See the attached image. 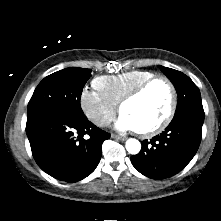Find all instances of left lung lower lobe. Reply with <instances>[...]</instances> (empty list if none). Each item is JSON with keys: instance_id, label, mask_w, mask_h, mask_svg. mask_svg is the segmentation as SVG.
<instances>
[{"instance_id": "0a47b994", "label": "left lung lower lobe", "mask_w": 221, "mask_h": 221, "mask_svg": "<svg viewBox=\"0 0 221 221\" xmlns=\"http://www.w3.org/2000/svg\"><path fill=\"white\" fill-rule=\"evenodd\" d=\"M203 108H190L174 115L160 135L142 141L131 163L141 174L161 180L181 171L192 160L201 142Z\"/></svg>"}]
</instances>
